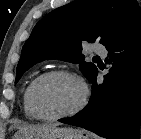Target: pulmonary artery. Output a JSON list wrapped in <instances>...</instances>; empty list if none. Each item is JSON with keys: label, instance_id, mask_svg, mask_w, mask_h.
<instances>
[{"label": "pulmonary artery", "instance_id": "1", "mask_svg": "<svg viewBox=\"0 0 141 139\" xmlns=\"http://www.w3.org/2000/svg\"><path fill=\"white\" fill-rule=\"evenodd\" d=\"M92 50L97 53V54H100V55H103L105 56L107 54V51L105 49V47L101 46V45H95L92 47Z\"/></svg>", "mask_w": 141, "mask_h": 139}]
</instances>
